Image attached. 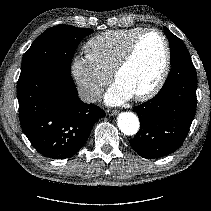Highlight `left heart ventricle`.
<instances>
[{"instance_id": "left-heart-ventricle-1", "label": "left heart ventricle", "mask_w": 211, "mask_h": 211, "mask_svg": "<svg viewBox=\"0 0 211 211\" xmlns=\"http://www.w3.org/2000/svg\"><path fill=\"white\" fill-rule=\"evenodd\" d=\"M164 45L156 33L144 35L132 62L120 73L117 81L133 96L151 88L160 75L164 63Z\"/></svg>"}]
</instances>
